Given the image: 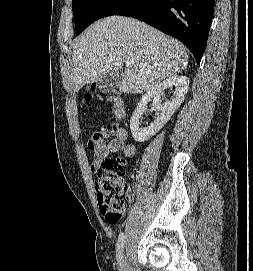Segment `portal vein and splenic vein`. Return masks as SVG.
<instances>
[{"mask_svg": "<svg viewBox=\"0 0 253 271\" xmlns=\"http://www.w3.org/2000/svg\"><path fill=\"white\" fill-rule=\"evenodd\" d=\"M126 66L131 67L132 66V62L131 61H127L126 62Z\"/></svg>", "mask_w": 253, "mask_h": 271, "instance_id": "obj_1", "label": "portal vein and splenic vein"}]
</instances>
